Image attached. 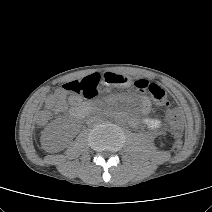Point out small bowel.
Returning <instances> with one entry per match:
<instances>
[{"mask_svg": "<svg viewBox=\"0 0 212 212\" xmlns=\"http://www.w3.org/2000/svg\"><path fill=\"white\" fill-rule=\"evenodd\" d=\"M81 99L78 96H70L66 99L65 95L61 92L56 93L55 95H51L46 99V106L49 109H54L56 113H60L65 111L68 106H75L79 104ZM150 110V103L145 100L143 102V111L148 113ZM145 124L151 128L155 129L161 125V122L157 118H146Z\"/></svg>", "mask_w": 212, "mask_h": 212, "instance_id": "c3829d8e", "label": "small bowel"}]
</instances>
